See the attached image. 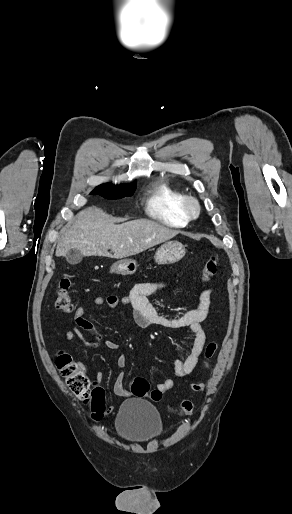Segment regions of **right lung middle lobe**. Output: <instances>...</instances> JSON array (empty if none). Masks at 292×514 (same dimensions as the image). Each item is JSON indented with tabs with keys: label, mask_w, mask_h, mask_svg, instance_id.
Listing matches in <instances>:
<instances>
[{
	"label": "right lung middle lobe",
	"mask_w": 292,
	"mask_h": 514,
	"mask_svg": "<svg viewBox=\"0 0 292 514\" xmlns=\"http://www.w3.org/2000/svg\"><path fill=\"white\" fill-rule=\"evenodd\" d=\"M135 189L136 182L127 186H115L107 183L96 187L90 194L100 195L106 199H120L126 196H132Z\"/></svg>",
	"instance_id": "obj_1"
}]
</instances>
